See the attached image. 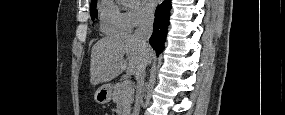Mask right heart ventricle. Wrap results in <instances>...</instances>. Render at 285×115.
<instances>
[{
    "label": "right heart ventricle",
    "mask_w": 285,
    "mask_h": 115,
    "mask_svg": "<svg viewBox=\"0 0 285 115\" xmlns=\"http://www.w3.org/2000/svg\"><path fill=\"white\" fill-rule=\"evenodd\" d=\"M100 30L105 35H115L125 30L124 12L112 1L101 4Z\"/></svg>",
    "instance_id": "e07e8e85"
}]
</instances>
